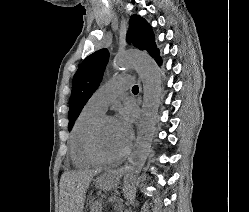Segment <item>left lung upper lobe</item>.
<instances>
[{"label":"left lung upper lobe","mask_w":249,"mask_h":212,"mask_svg":"<svg viewBox=\"0 0 249 212\" xmlns=\"http://www.w3.org/2000/svg\"><path fill=\"white\" fill-rule=\"evenodd\" d=\"M154 40L152 28L147 21L138 15H133L130 19L127 41L141 50H147L152 57H155L159 50ZM108 59L107 49L98 50L89 55L75 73L69 100V131L88 99L98 88Z\"/></svg>","instance_id":"1"}]
</instances>
